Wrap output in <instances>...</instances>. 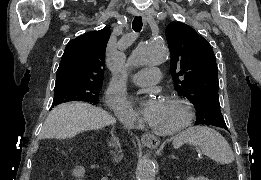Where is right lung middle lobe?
Instances as JSON below:
<instances>
[{"mask_svg":"<svg viewBox=\"0 0 261 180\" xmlns=\"http://www.w3.org/2000/svg\"><path fill=\"white\" fill-rule=\"evenodd\" d=\"M102 83L70 82L55 86L53 105L84 101L97 105Z\"/></svg>","mask_w":261,"mask_h":180,"instance_id":"right-lung-middle-lobe-1","label":"right lung middle lobe"}]
</instances>
